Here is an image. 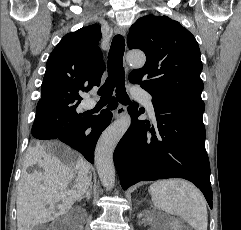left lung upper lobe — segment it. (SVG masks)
I'll use <instances>...</instances> for the list:
<instances>
[{
	"label": "left lung upper lobe",
	"mask_w": 241,
	"mask_h": 230,
	"mask_svg": "<svg viewBox=\"0 0 241 230\" xmlns=\"http://www.w3.org/2000/svg\"><path fill=\"white\" fill-rule=\"evenodd\" d=\"M129 32V49H140L146 55L145 65L133 70L129 81L153 99L203 114L202 62L194 36L179 22L154 15L138 19Z\"/></svg>",
	"instance_id": "5c2ea615"
}]
</instances>
